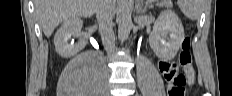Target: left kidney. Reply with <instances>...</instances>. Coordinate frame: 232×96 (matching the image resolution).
I'll use <instances>...</instances> for the list:
<instances>
[{
    "label": "left kidney",
    "mask_w": 232,
    "mask_h": 96,
    "mask_svg": "<svg viewBox=\"0 0 232 96\" xmlns=\"http://www.w3.org/2000/svg\"><path fill=\"white\" fill-rule=\"evenodd\" d=\"M183 40V25L176 13L172 10L161 12L149 36V44L157 57L162 60L173 59Z\"/></svg>",
    "instance_id": "5707ae66"
}]
</instances>
